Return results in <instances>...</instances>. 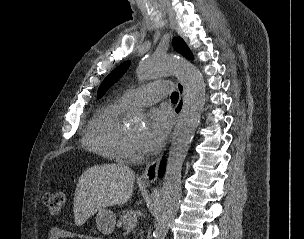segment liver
Returning a JSON list of instances; mask_svg holds the SVG:
<instances>
[{
  "label": "liver",
  "mask_w": 304,
  "mask_h": 239,
  "mask_svg": "<svg viewBox=\"0 0 304 239\" xmlns=\"http://www.w3.org/2000/svg\"><path fill=\"white\" fill-rule=\"evenodd\" d=\"M134 182L133 170L123 164L96 165L85 170L74 194L75 224L83 225L100 209L128 202L133 195Z\"/></svg>",
  "instance_id": "1"
}]
</instances>
